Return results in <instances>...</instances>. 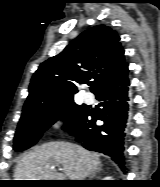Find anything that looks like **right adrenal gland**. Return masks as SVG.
I'll use <instances>...</instances> for the list:
<instances>
[{
    "instance_id": "2a0ac1e0",
    "label": "right adrenal gland",
    "mask_w": 160,
    "mask_h": 187,
    "mask_svg": "<svg viewBox=\"0 0 160 187\" xmlns=\"http://www.w3.org/2000/svg\"><path fill=\"white\" fill-rule=\"evenodd\" d=\"M101 170H102V169H101V166H100V167L92 174V176L90 177V180H92V179L96 176V174L99 173Z\"/></svg>"
}]
</instances>
